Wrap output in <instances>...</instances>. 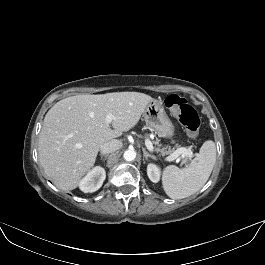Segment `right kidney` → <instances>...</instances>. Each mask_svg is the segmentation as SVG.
I'll list each match as a JSON object with an SVG mask.
<instances>
[{
	"label": "right kidney",
	"mask_w": 265,
	"mask_h": 265,
	"mask_svg": "<svg viewBox=\"0 0 265 265\" xmlns=\"http://www.w3.org/2000/svg\"><path fill=\"white\" fill-rule=\"evenodd\" d=\"M106 178L104 168L96 166L80 181L79 187L85 193L97 191Z\"/></svg>",
	"instance_id": "right-kidney-1"
}]
</instances>
